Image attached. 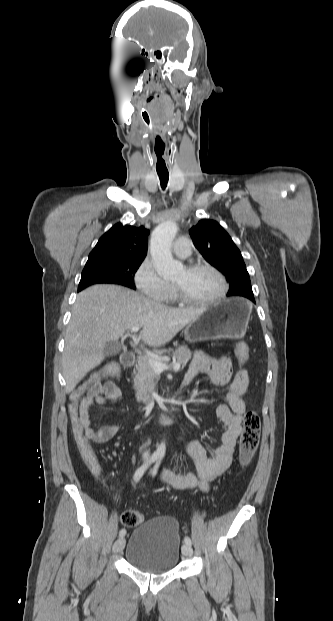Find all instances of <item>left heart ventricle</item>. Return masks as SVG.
Masks as SVG:
<instances>
[{
	"instance_id": "b2bd125f",
	"label": "left heart ventricle",
	"mask_w": 333,
	"mask_h": 621,
	"mask_svg": "<svg viewBox=\"0 0 333 621\" xmlns=\"http://www.w3.org/2000/svg\"><path fill=\"white\" fill-rule=\"evenodd\" d=\"M173 284L181 288L190 298L196 300L213 298L221 290L219 278L209 270L188 272L183 269L174 278Z\"/></svg>"
}]
</instances>
